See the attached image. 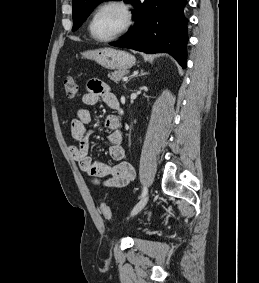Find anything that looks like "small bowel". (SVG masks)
<instances>
[{
  "instance_id": "c3829d8e",
  "label": "small bowel",
  "mask_w": 259,
  "mask_h": 283,
  "mask_svg": "<svg viewBox=\"0 0 259 283\" xmlns=\"http://www.w3.org/2000/svg\"><path fill=\"white\" fill-rule=\"evenodd\" d=\"M102 100L110 108L117 110L119 102L117 97L109 90L107 85L99 80H91L87 85V92L82 97L86 106L95 105ZM91 112L87 108H78L75 118L71 121L70 130L72 138L77 144L70 145L69 154L77 162L79 168L84 171L93 182L102 180L110 187H124L135 178L133 164L127 159V153L122 146L123 133L120 120L111 115L105 118L104 127L109 131L107 136L109 147L108 153L114 165L103 161L94 160L89 155L90 134L87 124L91 122Z\"/></svg>"
}]
</instances>
